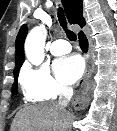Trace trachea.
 Returning <instances> with one entry per match:
<instances>
[{
  "label": "trachea",
  "instance_id": "3493384b",
  "mask_svg": "<svg viewBox=\"0 0 117 131\" xmlns=\"http://www.w3.org/2000/svg\"><path fill=\"white\" fill-rule=\"evenodd\" d=\"M58 19H59V22H60L61 26L65 30V33H66L68 39L70 41H76L77 36H76V34L73 31H71V30H69L67 28V22H66L64 13H63L61 8H58Z\"/></svg>",
  "mask_w": 117,
  "mask_h": 131
}]
</instances>
